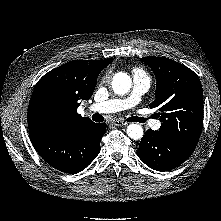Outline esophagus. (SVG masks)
<instances>
[{
  "instance_id": "obj_1",
  "label": "esophagus",
  "mask_w": 221,
  "mask_h": 221,
  "mask_svg": "<svg viewBox=\"0 0 221 221\" xmlns=\"http://www.w3.org/2000/svg\"><path fill=\"white\" fill-rule=\"evenodd\" d=\"M114 126H117V127H119V126H124V125H127L128 123L127 122H125V121H122V120H115V121H113V123H112Z\"/></svg>"
}]
</instances>
